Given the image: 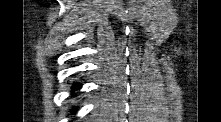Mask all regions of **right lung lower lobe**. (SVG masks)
I'll list each match as a JSON object with an SVG mask.
<instances>
[{
    "instance_id": "obj_1",
    "label": "right lung lower lobe",
    "mask_w": 221,
    "mask_h": 122,
    "mask_svg": "<svg viewBox=\"0 0 221 122\" xmlns=\"http://www.w3.org/2000/svg\"><path fill=\"white\" fill-rule=\"evenodd\" d=\"M78 86H80V84H78ZM73 89L77 90V84H74Z\"/></svg>"
}]
</instances>
